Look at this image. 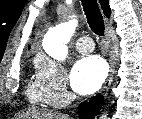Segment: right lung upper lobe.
<instances>
[{
    "label": "right lung upper lobe",
    "mask_w": 142,
    "mask_h": 119,
    "mask_svg": "<svg viewBox=\"0 0 142 119\" xmlns=\"http://www.w3.org/2000/svg\"><path fill=\"white\" fill-rule=\"evenodd\" d=\"M100 3H101L102 9H103L105 15L107 17H109L111 11H110V7H109V4H108V0H100Z\"/></svg>",
    "instance_id": "right-lung-upper-lobe-1"
}]
</instances>
